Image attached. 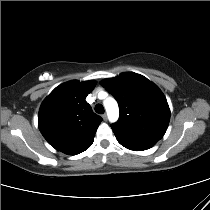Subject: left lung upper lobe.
<instances>
[{
    "instance_id": "left-lung-upper-lobe-1",
    "label": "left lung upper lobe",
    "mask_w": 210,
    "mask_h": 210,
    "mask_svg": "<svg viewBox=\"0 0 210 210\" xmlns=\"http://www.w3.org/2000/svg\"><path fill=\"white\" fill-rule=\"evenodd\" d=\"M100 84L118 101L120 117L112 124V130L121 145L142 151L154 146L164 136L170 109L155 84L131 72L105 79Z\"/></svg>"
}]
</instances>
